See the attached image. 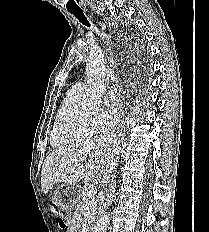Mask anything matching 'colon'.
Here are the masks:
<instances>
[{"mask_svg": "<svg viewBox=\"0 0 209 232\" xmlns=\"http://www.w3.org/2000/svg\"><path fill=\"white\" fill-rule=\"evenodd\" d=\"M49 205H50V206H53V205H54V202H53V201H50V202H49ZM58 221H59V223H60V225H61L62 227L67 226V224H68L69 221H70V215H69V213H68L67 211L61 212L60 215H59V217H58Z\"/></svg>", "mask_w": 209, "mask_h": 232, "instance_id": "colon-1", "label": "colon"}]
</instances>
